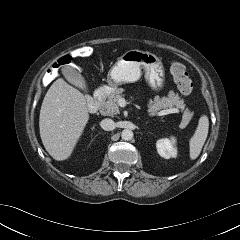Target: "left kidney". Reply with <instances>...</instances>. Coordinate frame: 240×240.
<instances>
[{"mask_svg":"<svg viewBox=\"0 0 240 240\" xmlns=\"http://www.w3.org/2000/svg\"><path fill=\"white\" fill-rule=\"evenodd\" d=\"M174 145H175L174 137H172L171 139L168 138L159 139L156 142L157 152L161 157L165 159L176 157L177 149L174 147Z\"/></svg>","mask_w":240,"mask_h":240,"instance_id":"obj_1","label":"left kidney"}]
</instances>
